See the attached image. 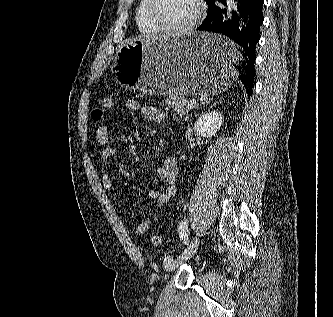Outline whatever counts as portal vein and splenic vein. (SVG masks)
<instances>
[{
  "mask_svg": "<svg viewBox=\"0 0 333 317\" xmlns=\"http://www.w3.org/2000/svg\"><path fill=\"white\" fill-rule=\"evenodd\" d=\"M190 104H191V105L196 104V100H194V99L190 100Z\"/></svg>",
  "mask_w": 333,
  "mask_h": 317,
  "instance_id": "1",
  "label": "portal vein and splenic vein"
}]
</instances>
